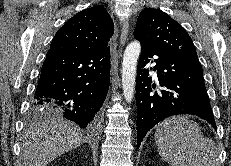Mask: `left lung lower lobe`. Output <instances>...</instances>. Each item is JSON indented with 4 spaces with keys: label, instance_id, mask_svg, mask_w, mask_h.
<instances>
[{
    "label": "left lung lower lobe",
    "instance_id": "1",
    "mask_svg": "<svg viewBox=\"0 0 231 166\" xmlns=\"http://www.w3.org/2000/svg\"><path fill=\"white\" fill-rule=\"evenodd\" d=\"M141 47L136 80L137 147L151 128L173 115H196L216 129L200 62L169 56L142 42ZM154 62L150 70L157 71L156 77L146 69Z\"/></svg>",
    "mask_w": 231,
    "mask_h": 166
}]
</instances>
